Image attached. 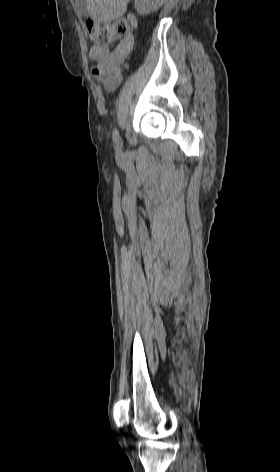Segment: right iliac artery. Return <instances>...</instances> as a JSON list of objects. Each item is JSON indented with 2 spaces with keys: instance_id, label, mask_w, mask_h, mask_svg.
Segmentation results:
<instances>
[{
  "instance_id": "right-iliac-artery-1",
  "label": "right iliac artery",
  "mask_w": 280,
  "mask_h": 472,
  "mask_svg": "<svg viewBox=\"0 0 280 472\" xmlns=\"http://www.w3.org/2000/svg\"><path fill=\"white\" fill-rule=\"evenodd\" d=\"M113 141L115 142V144L117 145V147H121L122 146V140L119 136V133L118 131L115 129L113 131Z\"/></svg>"
}]
</instances>
